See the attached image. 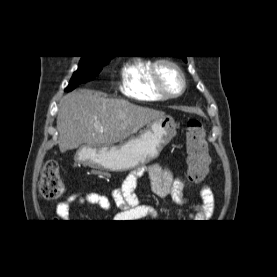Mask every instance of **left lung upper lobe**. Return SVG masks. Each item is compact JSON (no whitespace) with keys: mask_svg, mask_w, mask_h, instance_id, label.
I'll return each mask as SVG.
<instances>
[{"mask_svg":"<svg viewBox=\"0 0 277 277\" xmlns=\"http://www.w3.org/2000/svg\"><path fill=\"white\" fill-rule=\"evenodd\" d=\"M181 58H182L185 62L187 61L185 56H182Z\"/></svg>","mask_w":277,"mask_h":277,"instance_id":"obj_1","label":"left lung upper lobe"}]
</instances>
